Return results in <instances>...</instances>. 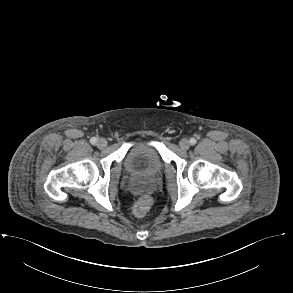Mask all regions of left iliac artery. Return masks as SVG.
Masks as SVG:
<instances>
[{
  "label": "left iliac artery",
  "mask_w": 293,
  "mask_h": 293,
  "mask_svg": "<svg viewBox=\"0 0 293 293\" xmlns=\"http://www.w3.org/2000/svg\"><path fill=\"white\" fill-rule=\"evenodd\" d=\"M196 142H197V141H196V139H195V138H191V139H190V144H191V145H195V144H196Z\"/></svg>",
  "instance_id": "44dca946"
}]
</instances>
